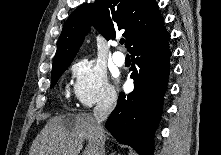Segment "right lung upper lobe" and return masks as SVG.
I'll use <instances>...</instances> for the list:
<instances>
[{
    "mask_svg": "<svg viewBox=\"0 0 221 155\" xmlns=\"http://www.w3.org/2000/svg\"><path fill=\"white\" fill-rule=\"evenodd\" d=\"M155 0H96L84 3L69 16L58 40L52 70L70 64L91 25L107 39L123 31L128 51L147 32L163 23Z\"/></svg>",
    "mask_w": 221,
    "mask_h": 155,
    "instance_id": "cb5924a9",
    "label": "right lung upper lobe"
}]
</instances>
